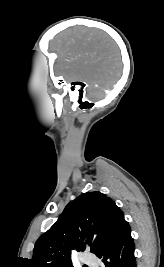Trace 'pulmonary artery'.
I'll return each mask as SVG.
<instances>
[{"label":"pulmonary artery","mask_w":164,"mask_h":267,"mask_svg":"<svg viewBox=\"0 0 164 267\" xmlns=\"http://www.w3.org/2000/svg\"><path fill=\"white\" fill-rule=\"evenodd\" d=\"M84 262L88 265H94L95 266V263H96V259L95 258H92V257H86Z\"/></svg>","instance_id":"e3ab8cb5"}]
</instances>
